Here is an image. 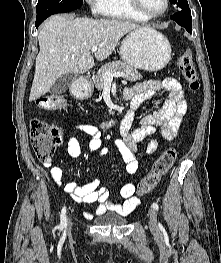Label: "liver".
<instances>
[{
    "instance_id": "obj_1",
    "label": "liver",
    "mask_w": 221,
    "mask_h": 263,
    "mask_svg": "<svg viewBox=\"0 0 221 263\" xmlns=\"http://www.w3.org/2000/svg\"><path fill=\"white\" fill-rule=\"evenodd\" d=\"M134 30L153 29L118 19L50 17L38 34L40 51L36 57L29 101L50 91L60 76L83 74L94 67L93 46H98L95 58L102 61L112 54L125 34Z\"/></svg>"
}]
</instances>
